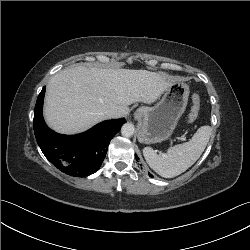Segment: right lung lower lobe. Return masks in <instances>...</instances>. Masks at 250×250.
Returning a JSON list of instances; mask_svg holds the SVG:
<instances>
[{"instance_id":"obj_1","label":"right lung lower lobe","mask_w":250,"mask_h":250,"mask_svg":"<svg viewBox=\"0 0 250 250\" xmlns=\"http://www.w3.org/2000/svg\"><path fill=\"white\" fill-rule=\"evenodd\" d=\"M45 87L34 109V133L45 157L60 171L75 177L91 175L99 170L108 144L126 122L124 118L103 121L77 135H61L47 127L42 115Z\"/></svg>"}]
</instances>
